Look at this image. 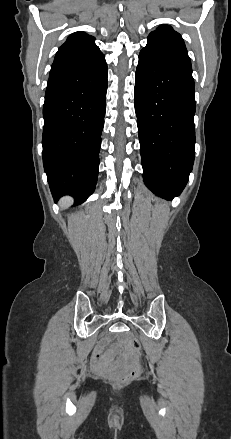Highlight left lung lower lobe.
Masks as SVG:
<instances>
[{
    "instance_id": "obj_1",
    "label": "left lung lower lobe",
    "mask_w": 231,
    "mask_h": 439,
    "mask_svg": "<svg viewBox=\"0 0 231 439\" xmlns=\"http://www.w3.org/2000/svg\"><path fill=\"white\" fill-rule=\"evenodd\" d=\"M135 84L144 182L157 195L178 196L189 180L195 156L191 63L142 49Z\"/></svg>"
}]
</instances>
